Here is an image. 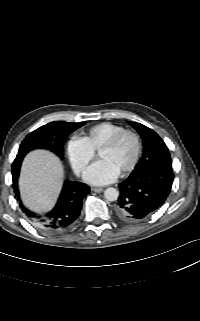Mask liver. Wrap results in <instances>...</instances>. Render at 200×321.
Returning <instances> with one entry per match:
<instances>
[{
	"instance_id": "1",
	"label": "liver",
	"mask_w": 200,
	"mask_h": 321,
	"mask_svg": "<svg viewBox=\"0 0 200 321\" xmlns=\"http://www.w3.org/2000/svg\"><path fill=\"white\" fill-rule=\"evenodd\" d=\"M63 167L58 157L45 150L30 152L24 159L19 187L23 202L31 210L51 207L61 188Z\"/></svg>"
}]
</instances>
